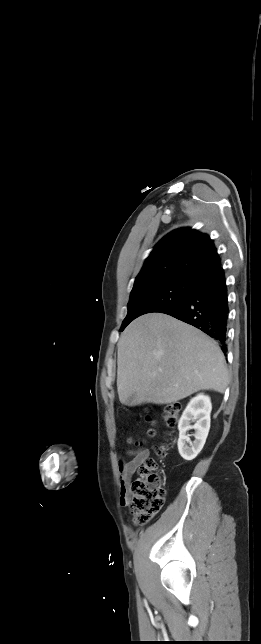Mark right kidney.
I'll return each instance as SVG.
<instances>
[{"label": "right kidney", "mask_w": 261, "mask_h": 644, "mask_svg": "<svg viewBox=\"0 0 261 644\" xmlns=\"http://www.w3.org/2000/svg\"><path fill=\"white\" fill-rule=\"evenodd\" d=\"M211 410L210 398L204 394H198L192 398L184 410L178 423L179 439L177 445L181 457L185 460L194 459L202 450L210 429ZM192 422H194V425H191ZM190 429L195 430V440L193 442L190 441L187 434Z\"/></svg>", "instance_id": "1"}]
</instances>
